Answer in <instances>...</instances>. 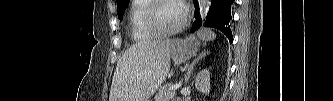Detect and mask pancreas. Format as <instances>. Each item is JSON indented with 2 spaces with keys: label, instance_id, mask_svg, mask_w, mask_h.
<instances>
[{
  "label": "pancreas",
  "instance_id": "obj_1",
  "mask_svg": "<svg viewBox=\"0 0 333 101\" xmlns=\"http://www.w3.org/2000/svg\"><path fill=\"white\" fill-rule=\"evenodd\" d=\"M175 95V90H170L169 86L161 87L155 96V101H171Z\"/></svg>",
  "mask_w": 333,
  "mask_h": 101
}]
</instances>
